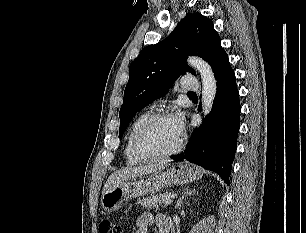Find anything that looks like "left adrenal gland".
Segmentation results:
<instances>
[{
  "instance_id": "obj_1",
  "label": "left adrenal gland",
  "mask_w": 306,
  "mask_h": 233,
  "mask_svg": "<svg viewBox=\"0 0 306 233\" xmlns=\"http://www.w3.org/2000/svg\"><path fill=\"white\" fill-rule=\"evenodd\" d=\"M196 190H191L189 187H187L185 190H184V193L183 195L178 199L177 203H176V206H175V209H179L181 207V204H182V201L187 198L188 196H191Z\"/></svg>"
}]
</instances>
